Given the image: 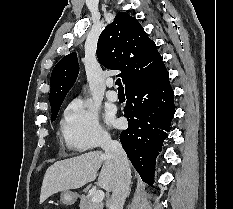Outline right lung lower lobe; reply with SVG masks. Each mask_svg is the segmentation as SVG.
I'll use <instances>...</instances> for the list:
<instances>
[{"mask_svg": "<svg viewBox=\"0 0 233 209\" xmlns=\"http://www.w3.org/2000/svg\"><path fill=\"white\" fill-rule=\"evenodd\" d=\"M125 93L124 116L128 128L120 133V142L141 178L153 183L155 160L175 113L174 94L165 65Z\"/></svg>", "mask_w": 233, "mask_h": 209, "instance_id": "98d812e1", "label": "right lung lower lobe"}]
</instances>
